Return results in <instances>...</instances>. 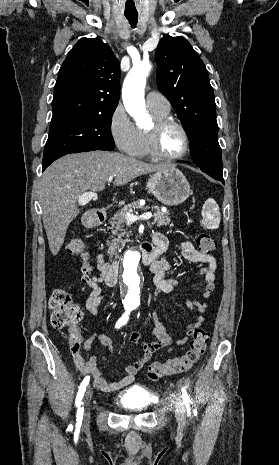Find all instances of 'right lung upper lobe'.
Here are the masks:
<instances>
[{
	"instance_id": "1",
	"label": "right lung upper lobe",
	"mask_w": 279,
	"mask_h": 465,
	"mask_svg": "<svg viewBox=\"0 0 279 465\" xmlns=\"http://www.w3.org/2000/svg\"><path fill=\"white\" fill-rule=\"evenodd\" d=\"M119 96L118 59L100 39L82 38L59 70L51 124L115 110Z\"/></svg>"
}]
</instances>
